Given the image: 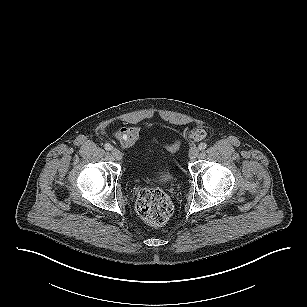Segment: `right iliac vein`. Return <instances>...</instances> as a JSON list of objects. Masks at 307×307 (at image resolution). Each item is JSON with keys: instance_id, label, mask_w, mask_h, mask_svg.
<instances>
[{"instance_id": "1", "label": "right iliac vein", "mask_w": 307, "mask_h": 307, "mask_svg": "<svg viewBox=\"0 0 307 307\" xmlns=\"http://www.w3.org/2000/svg\"><path fill=\"white\" fill-rule=\"evenodd\" d=\"M111 153H112V155L114 156L115 159H117V160L122 159V153L118 149H116V148L112 149Z\"/></svg>"}]
</instances>
